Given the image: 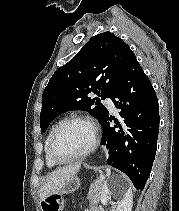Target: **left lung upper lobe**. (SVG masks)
I'll list each match as a JSON object with an SVG mask.
<instances>
[{
  "mask_svg": "<svg viewBox=\"0 0 179 211\" xmlns=\"http://www.w3.org/2000/svg\"><path fill=\"white\" fill-rule=\"evenodd\" d=\"M134 53L111 32L93 36L65 65L58 68L42 95L41 131L51 121L70 110L88 111L102 124L108 110L100 98L110 97ZM94 92L99 98H90Z\"/></svg>",
  "mask_w": 179,
  "mask_h": 211,
  "instance_id": "5c2ea615",
  "label": "left lung upper lobe"
}]
</instances>
